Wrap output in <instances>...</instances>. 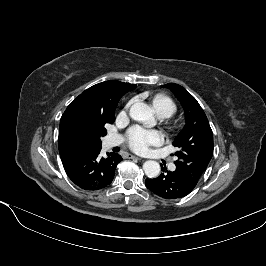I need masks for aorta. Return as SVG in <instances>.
<instances>
[{
    "instance_id": "1",
    "label": "aorta",
    "mask_w": 266,
    "mask_h": 266,
    "mask_svg": "<svg viewBox=\"0 0 266 266\" xmlns=\"http://www.w3.org/2000/svg\"><path fill=\"white\" fill-rule=\"evenodd\" d=\"M130 116L132 119L145 122L151 126L155 124L152 108L142 102L135 103L130 108ZM143 170L149 178H155L160 174V165L158 162L149 160L143 164Z\"/></svg>"
}]
</instances>
